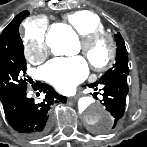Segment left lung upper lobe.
Masks as SVG:
<instances>
[{
    "instance_id": "5c2ea615",
    "label": "left lung upper lobe",
    "mask_w": 147,
    "mask_h": 147,
    "mask_svg": "<svg viewBox=\"0 0 147 147\" xmlns=\"http://www.w3.org/2000/svg\"><path fill=\"white\" fill-rule=\"evenodd\" d=\"M115 39L117 43L116 62L113 67L110 68L98 81L93 83L94 85H97L99 82L109 78H113L122 74H129L128 54L124 40L120 33L115 34Z\"/></svg>"
}]
</instances>
